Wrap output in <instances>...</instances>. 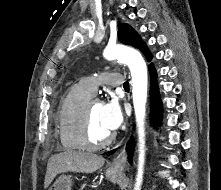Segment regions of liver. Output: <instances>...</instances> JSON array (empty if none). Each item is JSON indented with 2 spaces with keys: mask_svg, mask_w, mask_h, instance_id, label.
<instances>
[{
  "mask_svg": "<svg viewBox=\"0 0 221 190\" xmlns=\"http://www.w3.org/2000/svg\"><path fill=\"white\" fill-rule=\"evenodd\" d=\"M104 163L105 159L102 156L88 152L67 150L52 155L47 163L44 188L46 189L60 173H93Z\"/></svg>",
  "mask_w": 221,
  "mask_h": 190,
  "instance_id": "1",
  "label": "liver"
}]
</instances>
